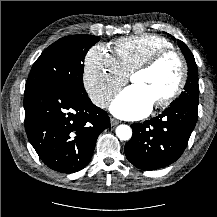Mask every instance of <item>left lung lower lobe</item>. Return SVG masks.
Listing matches in <instances>:
<instances>
[{
  "mask_svg": "<svg viewBox=\"0 0 217 217\" xmlns=\"http://www.w3.org/2000/svg\"><path fill=\"white\" fill-rule=\"evenodd\" d=\"M198 104L180 101L151 120L132 124L133 135L125 145L129 162L142 170L169 166L184 152L196 125Z\"/></svg>",
  "mask_w": 217,
  "mask_h": 217,
  "instance_id": "1",
  "label": "left lung lower lobe"
}]
</instances>
